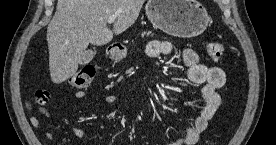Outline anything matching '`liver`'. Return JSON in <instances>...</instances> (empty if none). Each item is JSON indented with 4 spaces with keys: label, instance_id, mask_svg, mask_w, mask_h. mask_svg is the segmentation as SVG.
<instances>
[{
    "label": "liver",
    "instance_id": "1",
    "mask_svg": "<svg viewBox=\"0 0 276 145\" xmlns=\"http://www.w3.org/2000/svg\"><path fill=\"white\" fill-rule=\"evenodd\" d=\"M145 0H58L47 28L51 80L60 84L78 70L89 44L102 46L112 41L137 20ZM116 16L113 29L109 16Z\"/></svg>",
    "mask_w": 276,
    "mask_h": 145
}]
</instances>
